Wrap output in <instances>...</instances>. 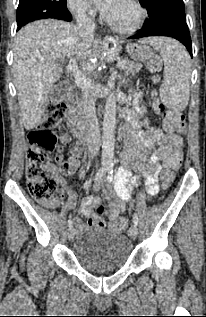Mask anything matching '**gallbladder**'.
I'll use <instances>...</instances> for the list:
<instances>
[{
  "instance_id": "obj_1",
  "label": "gallbladder",
  "mask_w": 206,
  "mask_h": 317,
  "mask_svg": "<svg viewBox=\"0 0 206 317\" xmlns=\"http://www.w3.org/2000/svg\"><path fill=\"white\" fill-rule=\"evenodd\" d=\"M70 88L67 81L59 83L50 94V99L53 103H59L64 98L66 91Z\"/></svg>"
}]
</instances>
